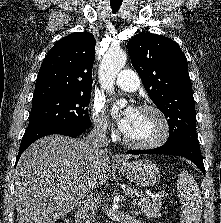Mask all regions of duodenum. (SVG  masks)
I'll return each mask as SVG.
<instances>
[{
    "label": "duodenum",
    "mask_w": 221,
    "mask_h": 223,
    "mask_svg": "<svg viewBox=\"0 0 221 223\" xmlns=\"http://www.w3.org/2000/svg\"><path fill=\"white\" fill-rule=\"evenodd\" d=\"M88 211L89 209L85 204H80L76 211V223H86Z\"/></svg>",
    "instance_id": "1"
}]
</instances>
